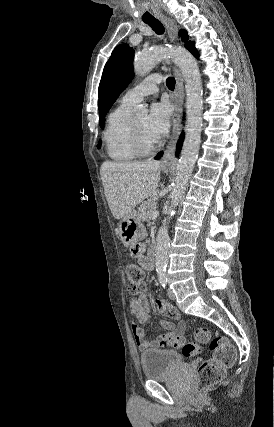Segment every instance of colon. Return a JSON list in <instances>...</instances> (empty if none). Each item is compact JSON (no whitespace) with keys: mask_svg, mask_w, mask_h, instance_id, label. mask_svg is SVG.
<instances>
[{"mask_svg":"<svg viewBox=\"0 0 274 427\" xmlns=\"http://www.w3.org/2000/svg\"><path fill=\"white\" fill-rule=\"evenodd\" d=\"M131 257H140V245H131ZM128 291L130 294H137L142 288V271L136 264L127 266ZM195 342H188L180 337H170L161 342L162 350H169L170 346L178 348L184 358L196 356L198 352L197 344L209 345L212 356L199 363L196 374L195 395H204L205 390L214 385L220 384L226 371L231 368L236 361V350L233 344L222 336H211L206 326H198L193 332Z\"/></svg>","mask_w":274,"mask_h":427,"instance_id":"obj_1","label":"colon"}]
</instances>
